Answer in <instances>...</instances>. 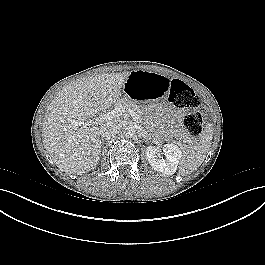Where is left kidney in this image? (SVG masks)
<instances>
[{"instance_id":"1","label":"left kidney","mask_w":265,"mask_h":265,"mask_svg":"<svg viewBox=\"0 0 265 265\" xmlns=\"http://www.w3.org/2000/svg\"><path fill=\"white\" fill-rule=\"evenodd\" d=\"M159 153L160 149L155 146H148L146 148L145 154L151 167L166 175L174 174L181 159L182 152L180 148L173 143L165 144L163 146V153L166 160L160 159L158 157Z\"/></svg>"}]
</instances>
